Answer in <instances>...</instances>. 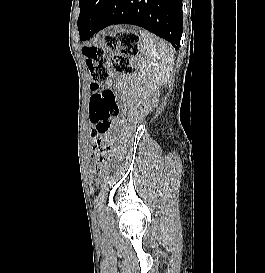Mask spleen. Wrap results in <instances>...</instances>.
<instances>
[{"label":"spleen","instance_id":"spleen-1","mask_svg":"<svg viewBox=\"0 0 265 273\" xmlns=\"http://www.w3.org/2000/svg\"><path fill=\"white\" fill-rule=\"evenodd\" d=\"M140 36L154 82L158 85H165L174 63L173 48L169 43L148 31L141 30Z\"/></svg>","mask_w":265,"mask_h":273}]
</instances>
